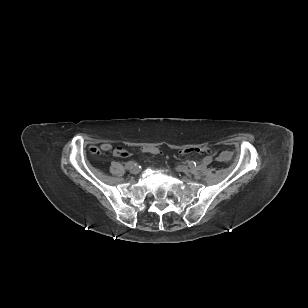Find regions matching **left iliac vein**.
<instances>
[{
    "mask_svg": "<svg viewBox=\"0 0 308 308\" xmlns=\"http://www.w3.org/2000/svg\"><path fill=\"white\" fill-rule=\"evenodd\" d=\"M176 170H177L178 172H182V173H185V174H189V172H190L189 168L186 167V166H183V165H178V166L176 167Z\"/></svg>",
    "mask_w": 308,
    "mask_h": 308,
    "instance_id": "left-iliac-vein-1",
    "label": "left iliac vein"
}]
</instances>
